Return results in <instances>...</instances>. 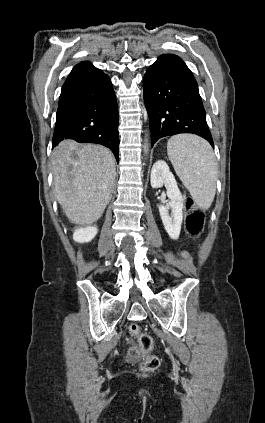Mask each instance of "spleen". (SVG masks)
Masks as SVG:
<instances>
[{"label":"spleen","mask_w":265,"mask_h":423,"mask_svg":"<svg viewBox=\"0 0 265 423\" xmlns=\"http://www.w3.org/2000/svg\"><path fill=\"white\" fill-rule=\"evenodd\" d=\"M167 154L193 201L207 210L216 194L217 162L210 144L195 135H175L168 140Z\"/></svg>","instance_id":"spleen-1"}]
</instances>
